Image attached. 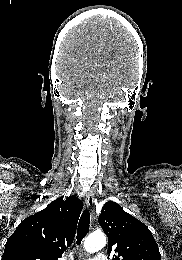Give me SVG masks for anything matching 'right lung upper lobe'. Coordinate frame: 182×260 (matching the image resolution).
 I'll return each instance as SVG.
<instances>
[{
    "mask_svg": "<svg viewBox=\"0 0 182 260\" xmlns=\"http://www.w3.org/2000/svg\"><path fill=\"white\" fill-rule=\"evenodd\" d=\"M83 202L63 197L24 219L8 238L2 260H57L75 237Z\"/></svg>",
    "mask_w": 182,
    "mask_h": 260,
    "instance_id": "cb5924a9",
    "label": "right lung upper lobe"
}]
</instances>
